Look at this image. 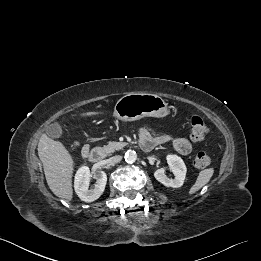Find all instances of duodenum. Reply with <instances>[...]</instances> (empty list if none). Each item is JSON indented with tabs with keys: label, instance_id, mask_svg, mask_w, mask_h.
<instances>
[{
	"label": "duodenum",
	"instance_id": "1",
	"mask_svg": "<svg viewBox=\"0 0 261 261\" xmlns=\"http://www.w3.org/2000/svg\"><path fill=\"white\" fill-rule=\"evenodd\" d=\"M140 146L144 150H150L152 148V145L146 142L141 141ZM103 151L99 149H91V150H83V156L92 163H98L103 159Z\"/></svg>",
	"mask_w": 261,
	"mask_h": 261
}]
</instances>
